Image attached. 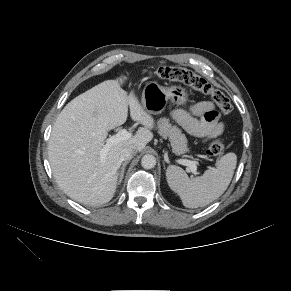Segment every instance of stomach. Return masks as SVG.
Wrapping results in <instances>:
<instances>
[{
    "label": "stomach",
    "instance_id": "0dacf381",
    "mask_svg": "<svg viewBox=\"0 0 291 291\" xmlns=\"http://www.w3.org/2000/svg\"><path fill=\"white\" fill-rule=\"evenodd\" d=\"M171 102L174 105H185L188 101L187 91L180 86L163 87L156 82L148 83L142 92L141 104L150 114H160Z\"/></svg>",
    "mask_w": 291,
    "mask_h": 291
}]
</instances>
